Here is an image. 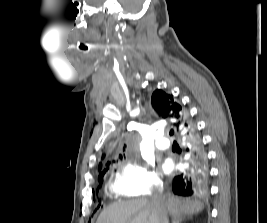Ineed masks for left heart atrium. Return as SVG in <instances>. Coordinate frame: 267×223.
<instances>
[{"label":"left heart atrium","mask_w":267,"mask_h":223,"mask_svg":"<svg viewBox=\"0 0 267 223\" xmlns=\"http://www.w3.org/2000/svg\"><path fill=\"white\" fill-rule=\"evenodd\" d=\"M174 167V164H173V161L171 160H166L163 165H162V168L164 170V172H170Z\"/></svg>","instance_id":"39dd6f15"}]
</instances>
